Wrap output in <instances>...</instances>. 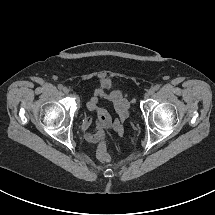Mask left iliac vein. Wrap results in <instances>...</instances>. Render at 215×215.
Instances as JSON below:
<instances>
[{
	"label": "left iliac vein",
	"instance_id": "left-iliac-vein-1",
	"mask_svg": "<svg viewBox=\"0 0 215 215\" xmlns=\"http://www.w3.org/2000/svg\"><path fill=\"white\" fill-rule=\"evenodd\" d=\"M154 88H150L148 91H147V93H146V96L147 97H149V96H151L153 93H154Z\"/></svg>",
	"mask_w": 215,
	"mask_h": 215
}]
</instances>
